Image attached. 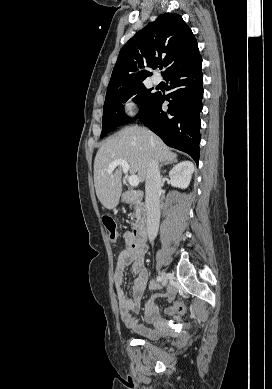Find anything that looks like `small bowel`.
<instances>
[{
  "label": "small bowel",
  "instance_id": "1",
  "mask_svg": "<svg viewBox=\"0 0 272 389\" xmlns=\"http://www.w3.org/2000/svg\"><path fill=\"white\" fill-rule=\"evenodd\" d=\"M147 248L146 245H136L131 241L130 235L125 234L123 238V248L120 251L115 271H114V284L115 291L118 300V306L120 311V317L124 325L133 330L135 333L150 338L153 334V330L146 327L144 324L134 317L133 313H137L140 310L141 299L144 289L148 283V270L144 263V258ZM128 266H132L133 272L136 277L132 285V296L128 297L123 288L124 272ZM152 289H157V285L154 282L150 284ZM174 292L169 289L165 296L169 299L173 298ZM158 295H154L146 303L144 307L145 311V323L150 324L159 317V309L154 304V299ZM168 313L172 312L171 308L167 309Z\"/></svg>",
  "mask_w": 272,
  "mask_h": 389
}]
</instances>
